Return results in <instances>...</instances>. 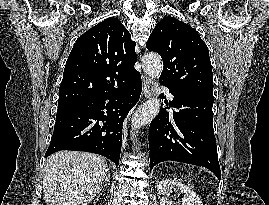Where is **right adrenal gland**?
<instances>
[{"instance_id": "2a0ac1e0", "label": "right adrenal gland", "mask_w": 269, "mask_h": 205, "mask_svg": "<svg viewBox=\"0 0 269 205\" xmlns=\"http://www.w3.org/2000/svg\"><path fill=\"white\" fill-rule=\"evenodd\" d=\"M104 182H107L108 184L110 183V171H107V176L105 177Z\"/></svg>"}]
</instances>
